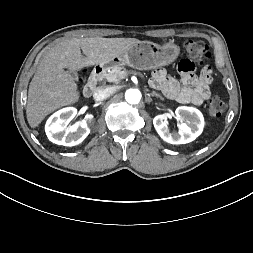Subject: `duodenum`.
I'll return each mask as SVG.
<instances>
[{"mask_svg":"<svg viewBox=\"0 0 253 253\" xmlns=\"http://www.w3.org/2000/svg\"><path fill=\"white\" fill-rule=\"evenodd\" d=\"M105 68L103 66H97L93 72L91 73L86 85L84 86L83 89V96L85 98H89L94 90L96 89V86L102 77L104 73Z\"/></svg>","mask_w":253,"mask_h":253,"instance_id":"duodenum-1","label":"duodenum"}]
</instances>
